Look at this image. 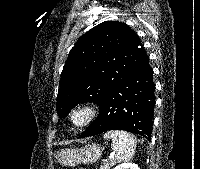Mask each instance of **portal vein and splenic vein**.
I'll return each mask as SVG.
<instances>
[{"label":"portal vein and splenic vein","mask_w":200,"mask_h":169,"mask_svg":"<svg viewBox=\"0 0 200 169\" xmlns=\"http://www.w3.org/2000/svg\"><path fill=\"white\" fill-rule=\"evenodd\" d=\"M113 156H114V155H111V156H109V158L111 159V158H113Z\"/></svg>","instance_id":"obj_1"}]
</instances>
